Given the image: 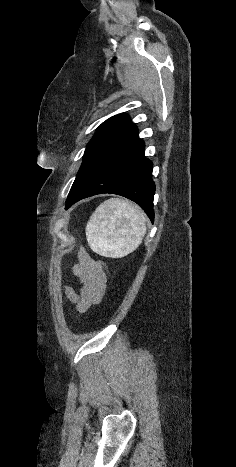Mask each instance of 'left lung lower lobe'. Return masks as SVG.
Here are the masks:
<instances>
[{"instance_id":"1","label":"left lung lower lobe","mask_w":236,"mask_h":467,"mask_svg":"<svg viewBox=\"0 0 236 467\" xmlns=\"http://www.w3.org/2000/svg\"><path fill=\"white\" fill-rule=\"evenodd\" d=\"M144 147L136 126L122 134L107 149L77 192L67 199L66 209L86 197L112 193L136 202L153 222V164L145 157Z\"/></svg>"}]
</instances>
